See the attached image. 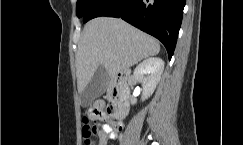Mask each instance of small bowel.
<instances>
[{
    "label": "small bowel",
    "instance_id": "small-bowel-1",
    "mask_svg": "<svg viewBox=\"0 0 243 145\" xmlns=\"http://www.w3.org/2000/svg\"><path fill=\"white\" fill-rule=\"evenodd\" d=\"M106 104L103 100H97L94 104V108L100 111V119L106 121L105 124L101 126V131L99 134L98 145H106L109 138H116L117 133L113 130L111 121L103 112Z\"/></svg>",
    "mask_w": 243,
    "mask_h": 145
}]
</instances>
